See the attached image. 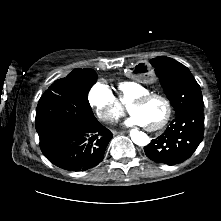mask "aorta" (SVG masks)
Instances as JSON below:
<instances>
[{
	"label": "aorta",
	"instance_id": "aorta-1",
	"mask_svg": "<svg viewBox=\"0 0 221 221\" xmlns=\"http://www.w3.org/2000/svg\"><path fill=\"white\" fill-rule=\"evenodd\" d=\"M130 137L133 143H135L138 146H146L150 142V138L148 137V135L137 129L131 130Z\"/></svg>",
	"mask_w": 221,
	"mask_h": 221
}]
</instances>
